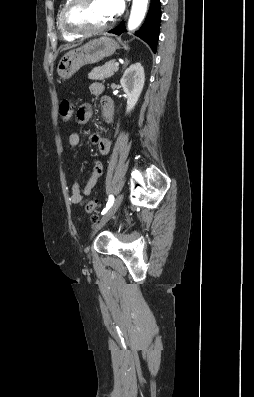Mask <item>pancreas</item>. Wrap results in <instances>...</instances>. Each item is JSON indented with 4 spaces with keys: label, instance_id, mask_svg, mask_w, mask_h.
Returning a JSON list of instances; mask_svg holds the SVG:
<instances>
[{
    "label": "pancreas",
    "instance_id": "pancreas-1",
    "mask_svg": "<svg viewBox=\"0 0 254 397\" xmlns=\"http://www.w3.org/2000/svg\"><path fill=\"white\" fill-rule=\"evenodd\" d=\"M115 61H109L105 65L94 68L89 74L90 80H104L110 78L118 71V67L114 66Z\"/></svg>",
    "mask_w": 254,
    "mask_h": 397
}]
</instances>
